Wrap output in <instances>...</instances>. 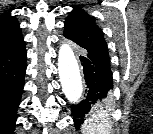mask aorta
I'll use <instances>...</instances> for the list:
<instances>
[{
  "instance_id": "762f6f07",
  "label": "aorta",
  "mask_w": 153,
  "mask_h": 134,
  "mask_svg": "<svg viewBox=\"0 0 153 134\" xmlns=\"http://www.w3.org/2000/svg\"><path fill=\"white\" fill-rule=\"evenodd\" d=\"M58 71L62 91L70 102H78L83 93L80 68L68 44H62L58 53Z\"/></svg>"
}]
</instances>
